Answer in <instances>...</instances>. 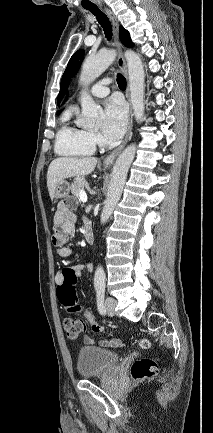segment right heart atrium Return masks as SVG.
<instances>
[{
  "mask_svg": "<svg viewBox=\"0 0 213 433\" xmlns=\"http://www.w3.org/2000/svg\"><path fill=\"white\" fill-rule=\"evenodd\" d=\"M93 137H94V139H95L96 141L99 140V136H98V135H93Z\"/></svg>",
  "mask_w": 213,
  "mask_h": 433,
  "instance_id": "right-heart-atrium-1",
  "label": "right heart atrium"
}]
</instances>
